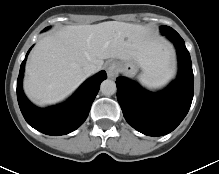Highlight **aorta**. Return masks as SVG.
Returning <instances> with one entry per match:
<instances>
[{
    "mask_svg": "<svg viewBox=\"0 0 219 174\" xmlns=\"http://www.w3.org/2000/svg\"><path fill=\"white\" fill-rule=\"evenodd\" d=\"M116 83L113 80L106 79L100 85V91L105 96H111L116 93Z\"/></svg>",
    "mask_w": 219,
    "mask_h": 174,
    "instance_id": "762f6f07",
    "label": "aorta"
}]
</instances>
